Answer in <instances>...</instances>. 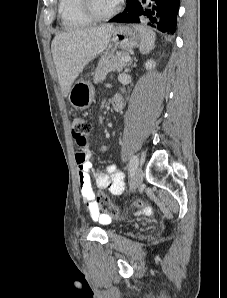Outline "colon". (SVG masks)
<instances>
[{
	"mask_svg": "<svg viewBox=\"0 0 227 298\" xmlns=\"http://www.w3.org/2000/svg\"><path fill=\"white\" fill-rule=\"evenodd\" d=\"M71 129H72V135L75 139L76 145L78 147V151H83L87 144H88V135L91 130L90 123L81 116H74L71 119ZM97 203L102 208H104L105 213H113L114 217L117 218L120 213V208H115L110 203L109 198L104 193H99L97 195ZM132 207H151V202H132ZM130 213L133 211L131 208L128 210Z\"/></svg>",
	"mask_w": 227,
	"mask_h": 298,
	"instance_id": "5ec220e1",
	"label": "colon"
}]
</instances>
